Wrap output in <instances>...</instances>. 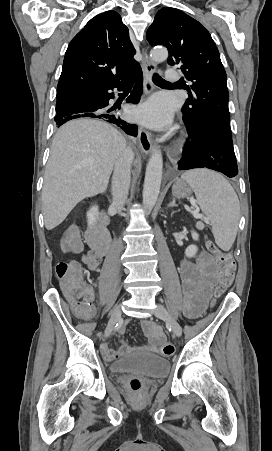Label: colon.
Wrapping results in <instances>:
<instances>
[{
	"label": "colon",
	"mask_w": 272,
	"mask_h": 451,
	"mask_svg": "<svg viewBox=\"0 0 272 451\" xmlns=\"http://www.w3.org/2000/svg\"><path fill=\"white\" fill-rule=\"evenodd\" d=\"M79 230H65L61 238V247L64 249L65 256H79L81 241L79 240ZM208 249L214 254L215 260L219 265L212 271L211 279L214 294L219 296L233 282L235 277L236 264L233 256L228 251H222L215 244H209ZM79 261L76 258L71 261H63L56 265L55 271L58 277L60 289H68V302L73 303L74 310H85L87 305L92 303L93 294L89 288H83L81 272L74 269ZM173 345H162V354H173ZM129 386L137 391L142 387V382L138 378H132Z\"/></svg>",
	"instance_id": "1"
}]
</instances>
